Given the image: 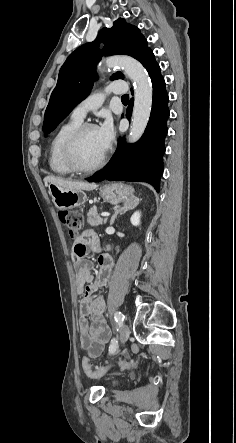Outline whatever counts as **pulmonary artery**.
Wrapping results in <instances>:
<instances>
[{"label": "pulmonary artery", "instance_id": "1", "mask_svg": "<svg viewBox=\"0 0 236 443\" xmlns=\"http://www.w3.org/2000/svg\"><path fill=\"white\" fill-rule=\"evenodd\" d=\"M124 91V84L120 81L112 82L106 88L107 93L121 94ZM103 99L104 95L101 93L93 94L87 97L73 108L71 112V117L83 120L90 110L97 109L102 104Z\"/></svg>", "mask_w": 236, "mask_h": 443}]
</instances>
